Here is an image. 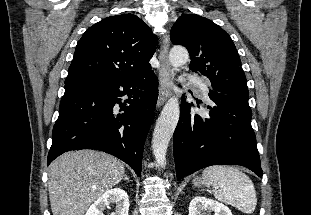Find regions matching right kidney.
Returning <instances> with one entry per match:
<instances>
[{
    "instance_id": "obj_1",
    "label": "right kidney",
    "mask_w": 311,
    "mask_h": 215,
    "mask_svg": "<svg viewBox=\"0 0 311 215\" xmlns=\"http://www.w3.org/2000/svg\"><path fill=\"white\" fill-rule=\"evenodd\" d=\"M110 204H115L112 215H128L129 199L121 188H113L104 192L87 210L85 215H103V211Z\"/></svg>"
}]
</instances>
